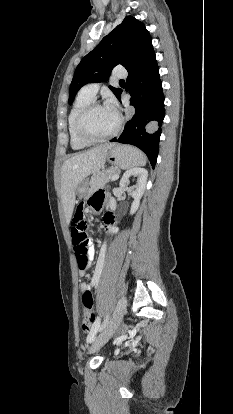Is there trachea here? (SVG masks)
<instances>
[{
    "label": "trachea",
    "mask_w": 233,
    "mask_h": 414,
    "mask_svg": "<svg viewBox=\"0 0 233 414\" xmlns=\"http://www.w3.org/2000/svg\"><path fill=\"white\" fill-rule=\"evenodd\" d=\"M119 82H120V83H125V81H124V80H120Z\"/></svg>",
    "instance_id": "3493384b"
}]
</instances>
